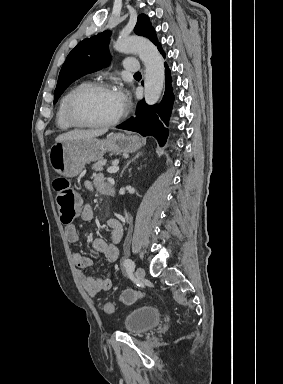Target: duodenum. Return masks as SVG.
I'll list each match as a JSON object with an SVG mask.
<instances>
[{"mask_svg": "<svg viewBox=\"0 0 283 384\" xmlns=\"http://www.w3.org/2000/svg\"><path fill=\"white\" fill-rule=\"evenodd\" d=\"M105 193L109 196H114L115 195V190L114 188L111 186V185H108L106 190H105Z\"/></svg>", "mask_w": 283, "mask_h": 384, "instance_id": "obj_1", "label": "duodenum"}]
</instances>
